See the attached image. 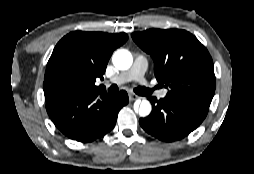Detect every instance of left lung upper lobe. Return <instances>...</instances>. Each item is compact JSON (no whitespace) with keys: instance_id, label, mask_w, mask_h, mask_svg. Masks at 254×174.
<instances>
[{"instance_id":"left-lung-upper-lobe-1","label":"left lung upper lobe","mask_w":254,"mask_h":174,"mask_svg":"<svg viewBox=\"0 0 254 174\" xmlns=\"http://www.w3.org/2000/svg\"><path fill=\"white\" fill-rule=\"evenodd\" d=\"M154 60L157 81L166 97L210 106L216 87L212 58L191 33L181 29H149L131 34Z\"/></svg>"}]
</instances>
